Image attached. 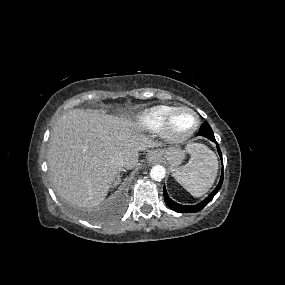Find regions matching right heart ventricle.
Segmentation results:
<instances>
[{
	"mask_svg": "<svg viewBox=\"0 0 285 285\" xmlns=\"http://www.w3.org/2000/svg\"><path fill=\"white\" fill-rule=\"evenodd\" d=\"M173 109L174 107L169 105H157L145 109L134 116V124L141 130L159 131Z\"/></svg>",
	"mask_w": 285,
	"mask_h": 285,
	"instance_id": "right-heart-ventricle-1",
	"label": "right heart ventricle"
}]
</instances>
